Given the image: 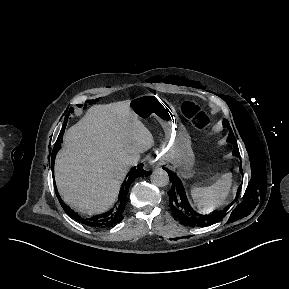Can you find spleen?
Wrapping results in <instances>:
<instances>
[{
  "label": "spleen",
  "mask_w": 289,
  "mask_h": 289,
  "mask_svg": "<svg viewBox=\"0 0 289 289\" xmlns=\"http://www.w3.org/2000/svg\"><path fill=\"white\" fill-rule=\"evenodd\" d=\"M232 173L227 172L214 184L208 187H193L191 196L196 207L204 212H212L213 210L222 207L231 190Z\"/></svg>",
  "instance_id": "3e777b00"
}]
</instances>
